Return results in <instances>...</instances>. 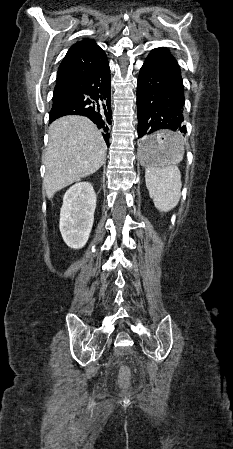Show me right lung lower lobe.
<instances>
[{"instance_id": "1", "label": "right lung lower lobe", "mask_w": 233, "mask_h": 449, "mask_svg": "<svg viewBox=\"0 0 233 449\" xmlns=\"http://www.w3.org/2000/svg\"><path fill=\"white\" fill-rule=\"evenodd\" d=\"M61 90L65 95L53 100L49 113L50 123L65 115L86 116L97 125L108 144V126L111 124V77L108 60Z\"/></svg>"}]
</instances>
